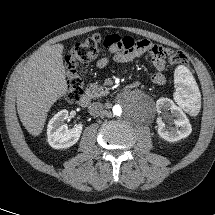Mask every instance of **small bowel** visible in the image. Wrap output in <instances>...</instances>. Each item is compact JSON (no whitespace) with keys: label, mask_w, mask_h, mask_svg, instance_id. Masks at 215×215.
Here are the masks:
<instances>
[{"label":"small bowel","mask_w":215,"mask_h":215,"mask_svg":"<svg viewBox=\"0 0 215 215\" xmlns=\"http://www.w3.org/2000/svg\"><path fill=\"white\" fill-rule=\"evenodd\" d=\"M104 48L107 49L108 55L96 61V68H105L111 60L116 63H128L144 54H149L156 70L152 75V82L157 85L165 83L166 78L163 71L165 69L166 56L163 50L166 48L153 44L147 39L134 40L132 37H121L116 34L105 37Z\"/></svg>","instance_id":"small-bowel-1"}]
</instances>
